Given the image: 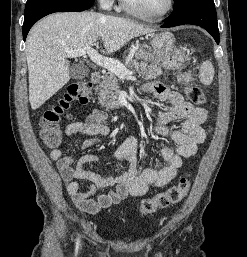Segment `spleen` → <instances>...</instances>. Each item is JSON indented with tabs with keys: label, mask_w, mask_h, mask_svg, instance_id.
I'll list each match as a JSON object with an SVG mask.
<instances>
[{
	"label": "spleen",
	"mask_w": 247,
	"mask_h": 257,
	"mask_svg": "<svg viewBox=\"0 0 247 257\" xmlns=\"http://www.w3.org/2000/svg\"><path fill=\"white\" fill-rule=\"evenodd\" d=\"M214 77V68L210 61H205L201 65V70L199 74L200 81L204 85H210Z\"/></svg>",
	"instance_id": "1"
}]
</instances>
